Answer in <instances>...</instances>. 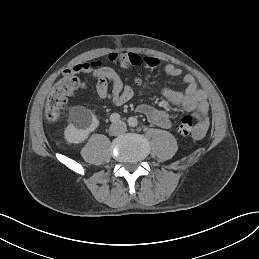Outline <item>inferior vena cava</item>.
I'll return each mask as SVG.
<instances>
[{"label": "inferior vena cava", "instance_id": "inferior-vena-cava-1", "mask_svg": "<svg viewBox=\"0 0 259 259\" xmlns=\"http://www.w3.org/2000/svg\"><path fill=\"white\" fill-rule=\"evenodd\" d=\"M126 130H127V125L122 121L113 123L110 126V133L112 135L124 134L126 132Z\"/></svg>", "mask_w": 259, "mask_h": 259}]
</instances>
